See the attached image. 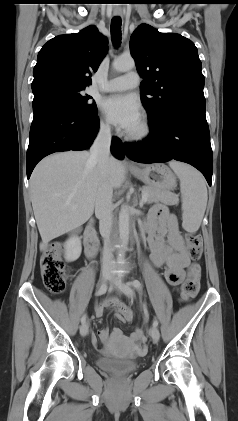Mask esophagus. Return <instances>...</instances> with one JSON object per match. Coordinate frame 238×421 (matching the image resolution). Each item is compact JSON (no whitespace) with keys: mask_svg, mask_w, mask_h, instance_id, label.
Segmentation results:
<instances>
[{"mask_svg":"<svg viewBox=\"0 0 238 421\" xmlns=\"http://www.w3.org/2000/svg\"><path fill=\"white\" fill-rule=\"evenodd\" d=\"M114 15H115V16H122V13H121L120 11H115V12H114ZM125 164H126V166H128V167H135L134 163H133L131 160H129L128 158H126V160H125Z\"/></svg>","mask_w":238,"mask_h":421,"instance_id":"34e87169","label":"esophagus"}]
</instances>
